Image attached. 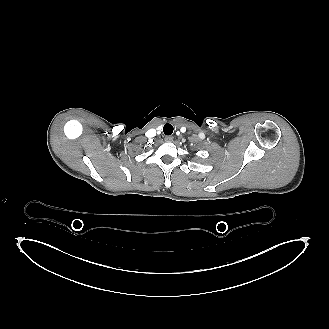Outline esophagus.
<instances>
[{
    "instance_id": "obj_1",
    "label": "esophagus",
    "mask_w": 329,
    "mask_h": 329,
    "mask_svg": "<svg viewBox=\"0 0 329 329\" xmlns=\"http://www.w3.org/2000/svg\"><path fill=\"white\" fill-rule=\"evenodd\" d=\"M165 141L166 142H172L173 141V137L172 136H165Z\"/></svg>"
}]
</instances>
